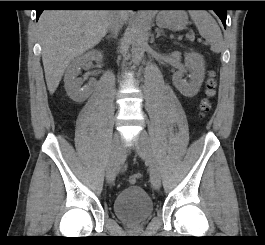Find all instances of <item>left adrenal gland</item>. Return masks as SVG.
<instances>
[{"label": "left adrenal gland", "instance_id": "1", "mask_svg": "<svg viewBox=\"0 0 265 245\" xmlns=\"http://www.w3.org/2000/svg\"><path fill=\"white\" fill-rule=\"evenodd\" d=\"M156 32H157L156 38H158V37H160L162 35L161 31L159 29H156Z\"/></svg>", "mask_w": 265, "mask_h": 245}]
</instances>
